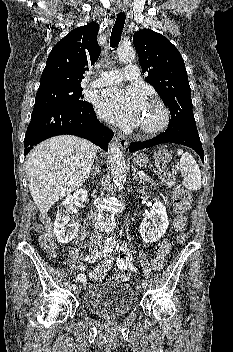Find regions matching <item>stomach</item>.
Returning <instances> with one entry per match:
<instances>
[{
  "label": "stomach",
  "mask_w": 233,
  "mask_h": 352,
  "mask_svg": "<svg viewBox=\"0 0 233 352\" xmlns=\"http://www.w3.org/2000/svg\"><path fill=\"white\" fill-rule=\"evenodd\" d=\"M134 163L138 167H146L149 163V159L146 157V155L139 154L135 156Z\"/></svg>",
  "instance_id": "1"
}]
</instances>
